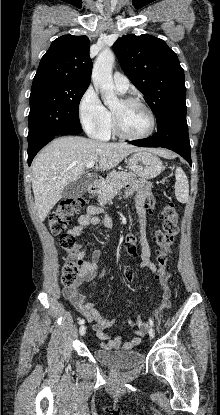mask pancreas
I'll use <instances>...</instances> for the list:
<instances>
[{"label": "pancreas", "instance_id": "1", "mask_svg": "<svg viewBox=\"0 0 220 415\" xmlns=\"http://www.w3.org/2000/svg\"><path fill=\"white\" fill-rule=\"evenodd\" d=\"M134 180L135 176L129 172H111L105 180L100 181L98 184L99 201L105 204L107 201L111 200L117 192Z\"/></svg>", "mask_w": 220, "mask_h": 415}]
</instances>
